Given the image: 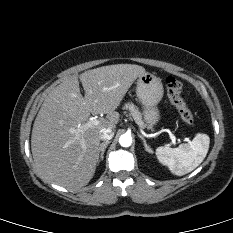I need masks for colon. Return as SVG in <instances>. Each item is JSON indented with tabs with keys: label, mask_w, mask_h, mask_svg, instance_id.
Returning a JSON list of instances; mask_svg holds the SVG:
<instances>
[{
	"label": "colon",
	"mask_w": 233,
	"mask_h": 233,
	"mask_svg": "<svg viewBox=\"0 0 233 233\" xmlns=\"http://www.w3.org/2000/svg\"><path fill=\"white\" fill-rule=\"evenodd\" d=\"M165 87L167 91V96L172 103V105L176 108L179 113L181 119L188 125H192L194 123V116L190 109L187 106V103L181 96L182 84L180 81L175 79L174 77H168L165 80Z\"/></svg>",
	"instance_id": "obj_1"
}]
</instances>
